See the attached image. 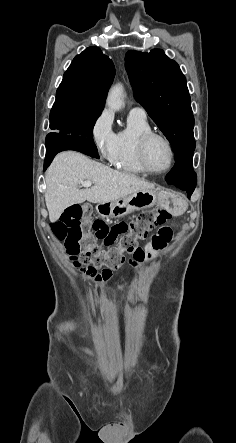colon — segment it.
I'll return each mask as SVG.
<instances>
[{"label":"colon","mask_w":236,"mask_h":443,"mask_svg":"<svg viewBox=\"0 0 236 443\" xmlns=\"http://www.w3.org/2000/svg\"><path fill=\"white\" fill-rule=\"evenodd\" d=\"M89 216L86 206L71 205L52 224V231L55 237L64 243L66 253L74 266L92 264L95 267H103L98 279L105 283L110 280L112 271L124 263L126 253L134 252L130 265L135 268L140 266L146 251L136 248L137 241L152 229L162 226L159 233L167 240L172 235L171 229L165 226L171 215L162 207L144 211L129 222H117L111 226L101 220L90 221ZM96 240L106 244L118 241V245L102 249L96 244ZM93 266L89 267L94 268Z\"/></svg>","instance_id":"obj_1"}]
</instances>
